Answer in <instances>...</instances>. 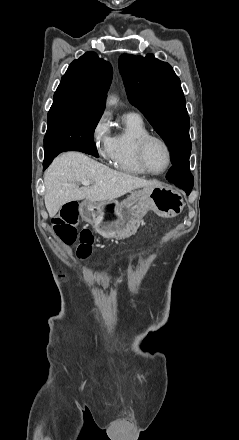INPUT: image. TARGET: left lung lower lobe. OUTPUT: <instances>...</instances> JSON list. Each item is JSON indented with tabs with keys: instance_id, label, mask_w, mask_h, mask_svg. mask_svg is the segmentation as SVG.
Listing matches in <instances>:
<instances>
[{
	"instance_id": "obj_1",
	"label": "left lung lower lobe",
	"mask_w": 239,
	"mask_h": 440,
	"mask_svg": "<svg viewBox=\"0 0 239 440\" xmlns=\"http://www.w3.org/2000/svg\"><path fill=\"white\" fill-rule=\"evenodd\" d=\"M166 178L168 181L183 189L187 195L190 194L194 178L189 170V160L173 164Z\"/></svg>"
}]
</instances>
